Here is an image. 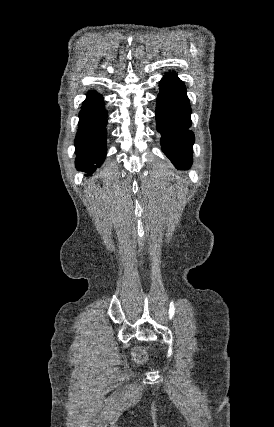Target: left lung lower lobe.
<instances>
[{
  "label": "left lung lower lobe",
  "instance_id": "1",
  "mask_svg": "<svg viewBox=\"0 0 274 427\" xmlns=\"http://www.w3.org/2000/svg\"><path fill=\"white\" fill-rule=\"evenodd\" d=\"M191 108L184 84L175 73H168L160 82L157 97L156 122L161 133V145L177 169H187L192 161L193 132Z\"/></svg>",
  "mask_w": 274,
  "mask_h": 427
}]
</instances>
